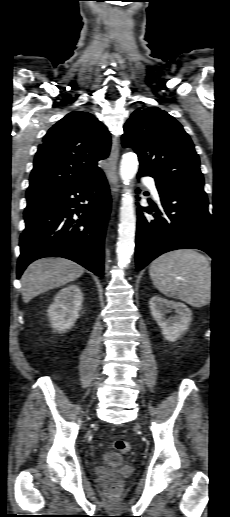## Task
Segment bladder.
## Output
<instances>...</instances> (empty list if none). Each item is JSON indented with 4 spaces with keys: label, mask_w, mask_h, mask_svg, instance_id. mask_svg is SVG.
Wrapping results in <instances>:
<instances>
[{
    "label": "bladder",
    "mask_w": 230,
    "mask_h": 517,
    "mask_svg": "<svg viewBox=\"0 0 230 517\" xmlns=\"http://www.w3.org/2000/svg\"><path fill=\"white\" fill-rule=\"evenodd\" d=\"M102 461L108 465H119L125 461V457L116 452L106 451L102 454Z\"/></svg>",
    "instance_id": "bladder-1"
}]
</instances>
